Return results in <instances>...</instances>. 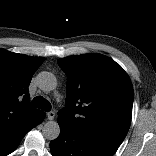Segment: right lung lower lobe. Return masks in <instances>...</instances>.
<instances>
[{"mask_svg": "<svg viewBox=\"0 0 156 156\" xmlns=\"http://www.w3.org/2000/svg\"><path fill=\"white\" fill-rule=\"evenodd\" d=\"M45 117V113L41 111L37 118L30 124L25 126H11L0 131V156H6L13 152L21 142L25 134L40 124Z\"/></svg>", "mask_w": 156, "mask_h": 156, "instance_id": "1", "label": "right lung lower lobe"}]
</instances>
